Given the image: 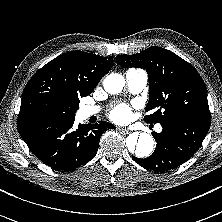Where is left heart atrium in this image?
I'll return each mask as SVG.
<instances>
[{
  "label": "left heart atrium",
  "instance_id": "left-heart-atrium-1",
  "mask_svg": "<svg viewBox=\"0 0 222 222\" xmlns=\"http://www.w3.org/2000/svg\"><path fill=\"white\" fill-rule=\"evenodd\" d=\"M109 117L115 122H127L132 117L131 108L127 104H119L110 111Z\"/></svg>",
  "mask_w": 222,
  "mask_h": 222
}]
</instances>
